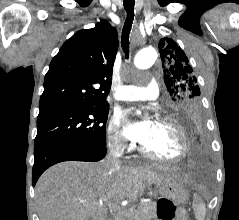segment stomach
Instances as JSON below:
<instances>
[{"instance_id":"1","label":"stomach","mask_w":239,"mask_h":220,"mask_svg":"<svg viewBox=\"0 0 239 220\" xmlns=\"http://www.w3.org/2000/svg\"><path fill=\"white\" fill-rule=\"evenodd\" d=\"M157 191L160 194L158 201L159 220H184L186 217L185 205L188 192L182 184H161Z\"/></svg>"}]
</instances>
